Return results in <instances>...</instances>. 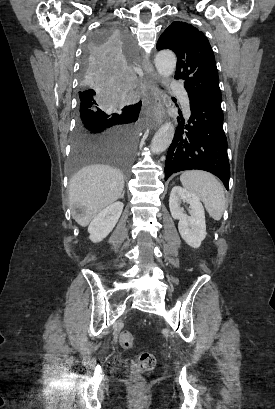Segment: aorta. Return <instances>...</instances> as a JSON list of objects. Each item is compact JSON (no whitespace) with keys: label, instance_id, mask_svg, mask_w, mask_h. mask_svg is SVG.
<instances>
[{"label":"aorta","instance_id":"1","mask_svg":"<svg viewBox=\"0 0 275 409\" xmlns=\"http://www.w3.org/2000/svg\"><path fill=\"white\" fill-rule=\"evenodd\" d=\"M154 60L155 66L161 76H170V74H173L176 68V56L172 50H160ZM174 132L175 126L172 122L162 124L152 138V152H163V150H166L173 140Z\"/></svg>","mask_w":275,"mask_h":409}]
</instances>
